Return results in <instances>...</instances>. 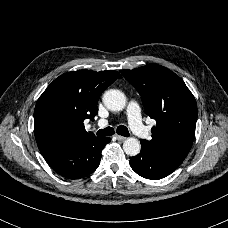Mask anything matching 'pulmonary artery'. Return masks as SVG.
I'll return each mask as SVG.
<instances>
[{"instance_id":"obj_1","label":"pulmonary artery","mask_w":228,"mask_h":228,"mask_svg":"<svg viewBox=\"0 0 228 228\" xmlns=\"http://www.w3.org/2000/svg\"><path fill=\"white\" fill-rule=\"evenodd\" d=\"M127 108L130 111V123L136 132L138 139L145 140L148 137V132L141 119V108L137 101L130 100L127 103ZM108 124L107 120H100L97 125L104 127Z\"/></svg>"}]
</instances>
